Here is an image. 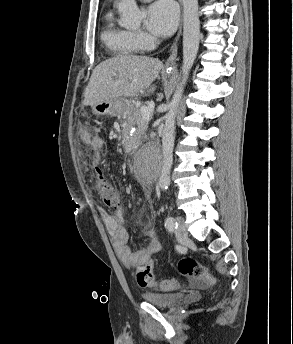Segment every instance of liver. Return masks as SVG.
<instances>
[{
	"label": "liver",
	"mask_w": 293,
	"mask_h": 344,
	"mask_svg": "<svg viewBox=\"0 0 293 344\" xmlns=\"http://www.w3.org/2000/svg\"><path fill=\"white\" fill-rule=\"evenodd\" d=\"M162 66L159 59L147 56L119 55L103 61L92 72L83 103L93 106L103 101L133 97L151 86Z\"/></svg>",
	"instance_id": "6515ba94"
}]
</instances>
